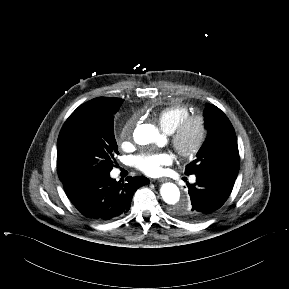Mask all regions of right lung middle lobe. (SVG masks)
I'll return each instance as SVG.
<instances>
[{
  "label": "right lung middle lobe",
  "mask_w": 289,
  "mask_h": 289,
  "mask_svg": "<svg viewBox=\"0 0 289 289\" xmlns=\"http://www.w3.org/2000/svg\"><path fill=\"white\" fill-rule=\"evenodd\" d=\"M120 98L99 97L79 106L64 123L57 141V166L62 183L109 175L119 154L114 116Z\"/></svg>",
  "instance_id": "obj_1"
}]
</instances>
